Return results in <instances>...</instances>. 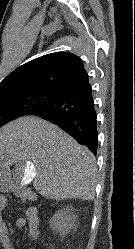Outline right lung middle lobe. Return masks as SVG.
Masks as SVG:
<instances>
[{"label": "right lung middle lobe", "mask_w": 135, "mask_h": 249, "mask_svg": "<svg viewBox=\"0 0 135 249\" xmlns=\"http://www.w3.org/2000/svg\"><path fill=\"white\" fill-rule=\"evenodd\" d=\"M60 93L55 91H30L19 94L0 95V127L17 117L55 99Z\"/></svg>", "instance_id": "obj_1"}]
</instances>
